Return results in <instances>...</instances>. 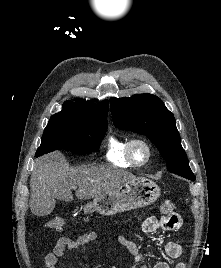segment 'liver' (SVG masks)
<instances>
[{
  "label": "liver",
  "instance_id": "liver-1",
  "mask_svg": "<svg viewBox=\"0 0 221 268\" xmlns=\"http://www.w3.org/2000/svg\"><path fill=\"white\" fill-rule=\"evenodd\" d=\"M135 176L112 166H81L72 168L61 152L38 158L30 178V209L37 216L50 214L56 199L73 200L72 189L81 200L95 199L110 193Z\"/></svg>",
  "mask_w": 221,
  "mask_h": 268
}]
</instances>
